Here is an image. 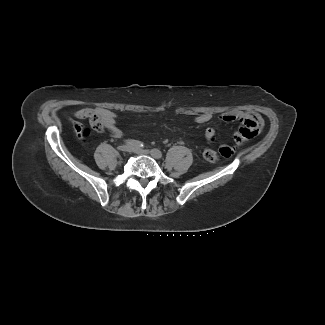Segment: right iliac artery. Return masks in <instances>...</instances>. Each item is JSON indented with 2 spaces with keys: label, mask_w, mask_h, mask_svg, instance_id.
<instances>
[{
  "label": "right iliac artery",
  "mask_w": 325,
  "mask_h": 325,
  "mask_svg": "<svg viewBox=\"0 0 325 325\" xmlns=\"http://www.w3.org/2000/svg\"><path fill=\"white\" fill-rule=\"evenodd\" d=\"M126 144L135 148H141L144 146V144L138 140H127Z\"/></svg>",
  "instance_id": "82829eb1"
}]
</instances>
